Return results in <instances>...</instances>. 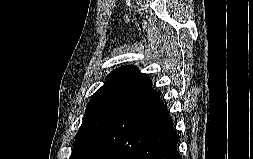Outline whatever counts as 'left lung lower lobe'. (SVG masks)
<instances>
[{
	"mask_svg": "<svg viewBox=\"0 0 253 159\" xmlns=\"http://www.w3.org/2000/svg\"><path fill=\"white\" fill-rule=\"evenodd\" d=\"M179 140L166 106L150 87L108 125L89 159H182Z\"/></svg>",
	"mask_w": 253,
	"mask_h": 159,
	"instance_id": "obj_1",
	"label": "left lung lower lobe"
}]
</instances>
